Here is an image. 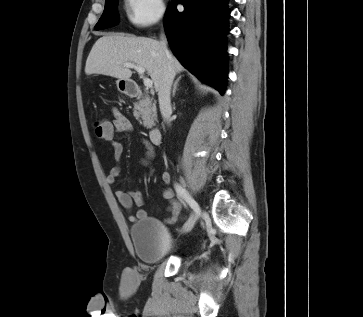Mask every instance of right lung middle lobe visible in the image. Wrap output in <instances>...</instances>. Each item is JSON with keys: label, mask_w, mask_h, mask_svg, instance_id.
<instances>
[{"label": "right lung middle lobe", "mask_w": 363, "mask_h": 317, "mask_svg": "<svg viewBox=\"0 0 363 317\" xmlns=\"http://www.w3.org/2000/svg\"><path fill=\"white\" fill-rule=\"evenodd\" d=\"M116 3L117 0H106L104 12L95 26L96 30L109 28L117 24Z\"/></svg>", "instance_id": "1"}]
</instances>
